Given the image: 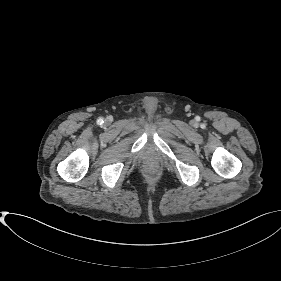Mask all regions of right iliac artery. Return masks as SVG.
Segmentation results:
<instances>
[{"instance_id":"1","label":"right iliac artery","mask_w":281,"mask_h":281,"mask_svg":"<svg viewBox=\"0 0 281 281\" xmlns=\"http://www.w3.org/2000/svg\"><path fill=\"white\" fill-rule=\"evenodd\" d=\"M98 123H103V119H102V118H99V119H98Z\"/></svg>"}]
</instances>
